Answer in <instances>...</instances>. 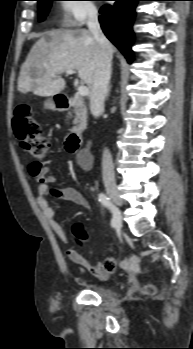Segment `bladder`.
<instances>
[{"mask_svg": "<svg viewBox=\"0 0 193 349\" xmlns=\"http://www.w3.org/2000/svg\"><path fill=\"white\" fill-rule=\"evenodd\" d=\"M97 292L100 296H103L105 294V291L103 289L97 288Z\"/></svg>", "mask_w": 193, "mask_h": 349, "instance_id": "bladder-1", "label": "bladder"}]
</instances>
